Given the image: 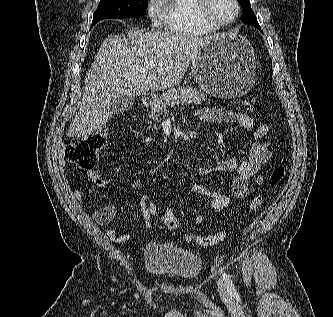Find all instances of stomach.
I'll return each instance as SVG.
<instances>
[{
    "label": "stomach",
    "instance_id": "1",
    "mask_svg": "<svg viewBox=\"0 0 333 317\" xmlns=\"http://www.w3.org/2000/svg\"><path fill=\"white\" fill-rule=\"evenodd\" d=\"M191 69L197 84L209 95L238 98L245 95L255 81L254 49L242 35L219 34L204 43Z\"/></svg>",
    "mask_w": 333,
    "mask_h": 317
}]
</instances>
